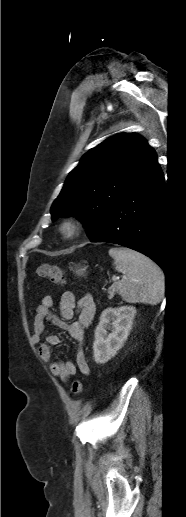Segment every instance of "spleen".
Listing matches in <instances>:
<instances>
[{
	"instance_id": "1",
	"label": "spleen",
	"mask_w": 186,
	"mask_h": 517,
	"mask_svg": "<svg viewBox=\"0 0 186 517\" xmlns=\"http://www.w3.org/2000/svg\"><path fill=\"white\" fill-rule=\"evenodd\" d=\"M115 270L124 274L118 283L119 294L129 303L156 305L165 292V276L149 258L127 248H111Z\"/></svg>"
}]
</instances>
